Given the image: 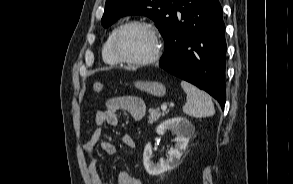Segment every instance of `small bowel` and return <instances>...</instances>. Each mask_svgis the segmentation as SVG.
Instances as JSON below:
<instances>
[{
    "mask_svg": "<svg viewBox=\"0 0 293 184\" xmlns=\"http://www.w3.org/2000/svg\"><path fill=\"white\" fill-rule=\"evenodd\" d=\"M119 112L128 113L134 122H140L146 113V106L142 99L135 96H122L110 98L106 101L105 109L98 110L95 113L94 121L96 128L92 132L88 141L84 144L83 149L87 156L88 172L92 184H107L103 181L98 172L97 160L94 157V147L100 143L102 151L108 155L116 152L115 146L107 140H103L104 125L116 126L119 121ZM123 143L130 148L135 147L134 138L130 134H125L122 138ZM117 184H143L141 179L131 175L128 172H121L118 176Z\"/></svg>",
    "mask_w": 293,
    "mask_h": 184,
    "instance_id": "small-bowel-1",
    "label": "small bowel"
}]
</instances>
